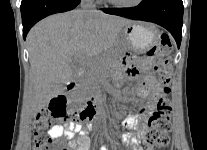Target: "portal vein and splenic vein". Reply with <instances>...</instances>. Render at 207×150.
<instances>
[{
    "label": "portal vein and splenic vein",
    "instance_id": "portal-vein-and-splenic-vein-1",
    "mask_svg": "<svg viewBox=\"0 0 207 150\" xmlns=\"http://www.w3.org/2000/svg\"><path fill=\"white\" fill-rule=\"evenodd\" d=\"M95 60H82L81 58H75L74 62L80 63L83 66H89L91 65L92 62Z\"/></svg>",
    "mask_w": 207,
    "mask_h": 150
}]
</instances>
